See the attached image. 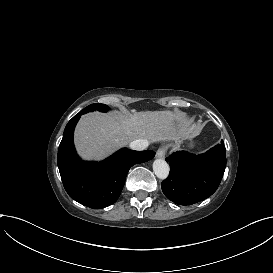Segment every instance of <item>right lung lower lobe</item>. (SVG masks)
Listing matches in <instances>:
<instances>
[{
	"mask_svg": "<svg viewBox=\"0 0 273 273\" xmlns=\"http://www.w3.org/2000/svg\"><path fill=\"white\" fill-rule=\"evenodd\" d=\"M81 113L66 125L58 149V168L65 190L78 203L101 209L117 201L129 169L155 156V152L123 148L101 162H85L76 154L74 128Z\"/></svg>",
	"mask_w": 273,
	"mask_h": 273,
	"instance_id": "1",
	"label": "right lung lower lobe"
}]
</instances>
